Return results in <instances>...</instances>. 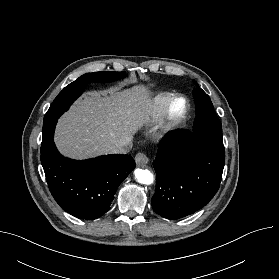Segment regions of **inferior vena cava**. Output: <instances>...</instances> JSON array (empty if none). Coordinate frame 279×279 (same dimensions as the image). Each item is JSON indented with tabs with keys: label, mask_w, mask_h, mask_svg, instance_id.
Instances as JSON below:
<instances>
[{
	"label": "inferior vena cava",
	"mask_w": 279,
	"mask_h": 279,
	"mask_svg": "<svg viewBox=\"0 0 279 279\" xmlns=\"http://www.w3.org/2000/svg\"><path fill=\"white\" fill-rule=\"evenodd\" d=\"M132 146V140H127L124 142L114 143L106 148V153L108 154H125L128 149Z\"/></svg>",
	"instance_id": "obj_1"
}]
</instances>
